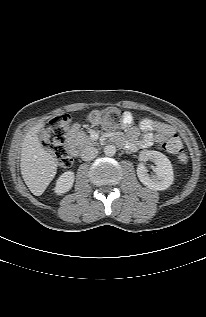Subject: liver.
Masks as SVG:
<instances>
[{
	"mask_svg": "<svg viewBox=\"0 0 206 317\" xmlns=\"http://www.w3.org/2000/svg\"><path fill=\"white\" fill-rule=\"evenodd\" d=\"M44 122L37 124L26 134L21 148L20 169L23 180L35 195L43 194L57 171V160L45 151L38 139Z\"/></svg>",
	"mask_w": 206,
	"mask_h": 317,
	"instance_id": "6515ba94",
	"label": "liver"
}]
</instances>
